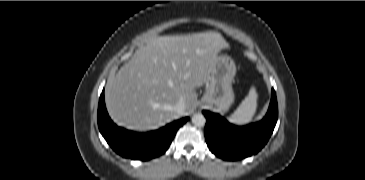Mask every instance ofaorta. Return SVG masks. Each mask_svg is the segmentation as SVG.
Here are the masks:
<instances>
[{
	"label": "aorta",
	"instance_id": "1",
	"mask_svg": "<svg viewBox=\"0 0 365 180\" xmlns=\"http://www.w3.org/2000/svg\"><path fill=\"white\" fill-rule=\"evenodd\" d=\"M192 123L198 127H203L206 123V118L201 113L194 114L192 117Z\"/></svg>",
	"mask_w": 365,
	"mask_h": 180
}]
</instances>
